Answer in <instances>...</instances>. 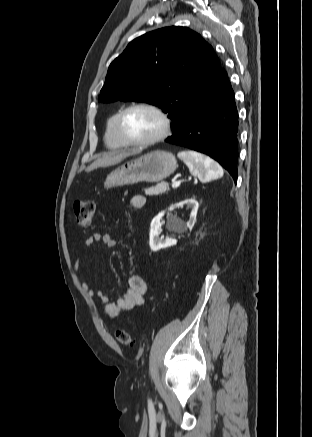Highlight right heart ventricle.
<instances>
[{
	"label": "right heart ventricle",
	"instance_id": "right-heart-ventricle-1",
	"mask_svg": "<svg viewBox=\"0 0 312 437\" xmlns=\"http://www.w3.org/2000/svg\"><path fill=\"white\" fill-rule=\"evenodd\" d=\"M119 113L120 111H117L111 115L106 123L104 139L106 145L111 149H122L128 146L123 142L116 130V121Z\"/></svg>",
	"mask_w": 312,
	"mask_h": 437
}]
</instances>
